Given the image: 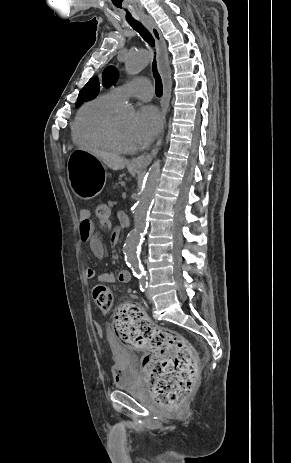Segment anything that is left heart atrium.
Segmentation results:
<instances>
[{
    "label": "left heart atrium",
    "mask_w": 291,
    "mask_h": 463,
    "mask_svg": "<svg viewBox=\"0 0 291 463\" xmlns=\"http://www.w3.org/2000/svg\"><path fill=\"white\" fill-rule=\"evenodd\" d=\"M162 128V117L153 106L142 107L131 126V136L136 146H145L151 142Z\"/></svg>",
    "instance_id": "1"
}]
</instances>
